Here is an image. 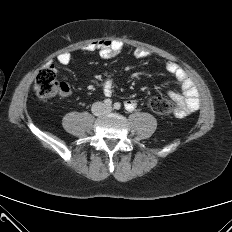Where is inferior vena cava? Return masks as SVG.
I'll return each mask as SVG.
<instances>
[{"label": "inferior vena cava", "instance_id": "602c4592", "mask_svg": "<svg viewBox=\"0 0 232 232\" xmlns=\"http://www.w3.org/2000/svg\"><path fill=\"white\" fill-rule=\"evenodd\" d=\"M105 111V105L102 102H95L92 105V113L94 115H100Z\"/></svg>", "mask_w": 232, "mask_h": 232}]
</instances>
